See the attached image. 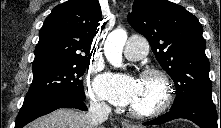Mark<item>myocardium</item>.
Segmentation results:
<instances>
[{
  "mask_svg": "<svg viewBox=\"0 0 221 128\" xmlns=\"http://www.w3.org/2000/svg\"><path fill=\"white\" fill-rule=\"evenodd\" d=\"M143 80H153L159 86V92L153 104L147 109L129 108V113L136 118H153L162 114L172 100V84L169 76L162 70L149 68L142 74Z\"/></svg>",
  "mask_w": 221,
  "mask_h": 128,
  "instance_id": "f54148a6",
  "label": "myocardium"
}]
</instances>
